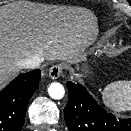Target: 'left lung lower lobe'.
Masks as SVG:
<instances>
[{"mask_svg":"<svg viewBox=\"0 0 131 131\" xmlns=\"http://www.w3.org/2000/svg\"><path fill=\"white\" fill-rule=\"evenodd\" d=\"M64 116L69 131H131V118L118 119L103 109L81 83H67Z\"/></svg>","mask_w":131,"mask_h":131,"instance_id":"obj_1","label":"left lung lower lobe"}]
</instances>
